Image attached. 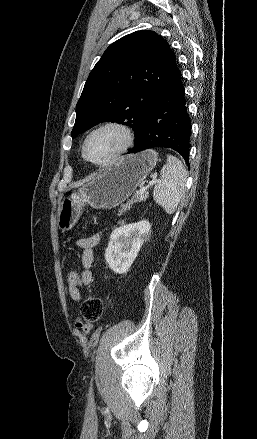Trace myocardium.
Here are the masks:
<instances>
[{
    "label": "myocardium",
    "mask_w": 257,
    "mask_h": 439,
    "mask_svg": "<svg viewBox=\"0 0 257 439\" xmlns=\"http://www.w3.org/2000/svg\"><path fill=\"white\" fill-rule=\"evenodd\" d=\"M106 129H112V130L117 131L121 136L122 145L108 159H106L104 161H100V162L93 161L87 156V145H88L90 139L96 133H98L102 130H106ZM133 140H134L133 133H132L131 129L128 126H126L125 124H122L119 122H105V123L97 126L96 128H94L93 130H91L89 132V134L86 136V138L83 142V146H82V156L85 159V161H87L88 163H90L93 166L108 167V166L112 165L116 160H118L132 146Z\"/></svg>",
    "instance_id": "myocardium-1"
}]
</instances>
